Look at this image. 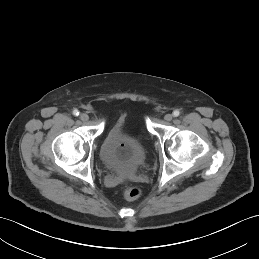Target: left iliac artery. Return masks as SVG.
<instances>
[{"label":"left iliac artery","instance_id":"44dca946","mask_svg":"<svg viewBox=\"0 0 259 259\" xmlns=\"http://www.w3.org/2000/svg\"><path fill=\"white\" fill-rule=\"evenodd\" d=\"M180 115V112L178 110L173 111V116L178 117Z\"/></svg>","mask_w":259,"mask_h":259}]
</instances>
